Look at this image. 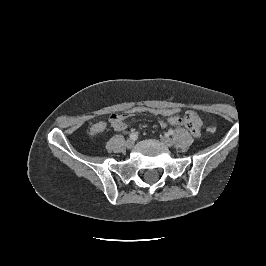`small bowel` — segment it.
Instances as JSON below:
<instances>
[{"label":"small bowel","mask_w":266,"mask_h":266,"mask_svg":"<svg viewBox=\"0 0 266 266\" xmlns=\"http://www.w3.org/2000/svg\"><path fill=\"white\" fill-rule=\"evenodd\" d=\"M111 126L117 131H123L126 129V123L124 118H118L117 120L110 122ZM167 124L172 126H184L186 127L192 135L198 136L200 134L202 121L197 113L194 111H187L183 115L171 116L168 118L167 122L161 121V127H166ZM106 129V123L104 121H99L94 123L90 128L91 135H99L103 133Z\"/></svg>","instance_id":"c3829d8e"}]
</instances>
